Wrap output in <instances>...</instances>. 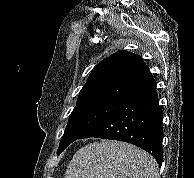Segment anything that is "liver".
<instances>
[{"instance_id": "1", "label": "liver", "mask_w": 194, "mask_h": 178, "mask_svg": "<svg viewBox=\"0 0 194 178\" xmlns=\"http://www.w3.org/2000/svg\"><path fill=\"white\" fill-rule=\"evenodd\" d=\"M65 178H158V165L150 154L132 144L103 140L79 149Z\"/></svg>"}]
</instances>
